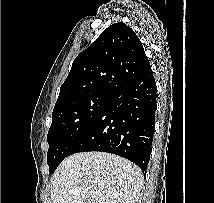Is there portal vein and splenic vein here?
Segmentation results:
<instances>
[{
  "label": "portal vein and splenic vein",
  "mask_w": 214,
  "mask_h": 203,
  "mask_svg": "<svg viewBox=\"0 0 214 203\" xmlns=\"http://www.w3.org/2000/svg\"><path fill=\"white\" fill-rule=\"evenodd\" d=\"M71 193H72V194H79L80 191L76 189V190L71 191Z\"/></svg>",
  "instance_id": "18ae733b"
}]
</instances>
